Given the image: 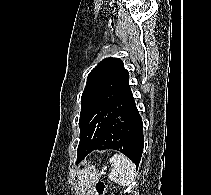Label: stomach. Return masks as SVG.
<instances>
[{
    "label": "stomach",
    "mask_w": 211,
    "mask_h": 195,
    "mask_svg": "<svg viewBox=\"0 0 211 195\" xmlns=\"http://www.w3.org/2000/svg\"><path fill=\"white\" fill-rule=\"evenodd\" d=\"M99 172L94 166H90L83 171L81 183L84 187L80 195H91V188L99 180Z\"/></svg>",
    "instance_id": "1"
}]
</instances>
